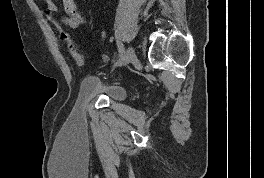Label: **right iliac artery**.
Here are the masks:
<instances>
[{
	"label": "right iliac artery",
	"mask_w": 264,
	"mask_h": 178,
	"mask_svg": "<svg viewBox=\"0 0 264 178\" xmlns=\"http://www.w3.org/2000/svg\"><path fill=\"white\" fill-rule=\"evenodd\" d=\"M117 47H118V51H119V56L121 57L124 53V47L122 45V43L117 42Z\"/></svg>",
	"instance_id": "obj_1"
}]
</instances>
